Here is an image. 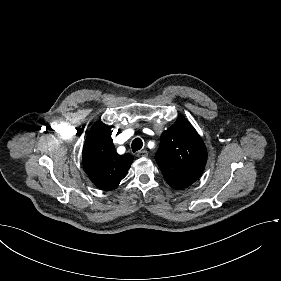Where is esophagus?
I'll use <instances>...</instances> for the list:
<instances>
[{
    "label": "esophagus",
    "instance_id": "1",
    "mask_svg": "<svg viewBox=\"0 0 281 281\" xmlns=\"http://www.w3.org/2000/svg\"><path fill=\"white\" fill-rule=\"evenodd\" d=\"M147 156H148V152L146 150H142L137 153V157L139 158H145Z\"/></svg>",
    "mask_w": 281,
    "mask_h": 281
}]
</instances>
